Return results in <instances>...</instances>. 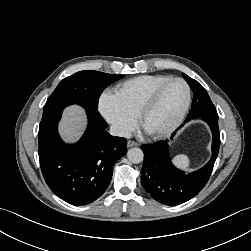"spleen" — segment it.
Returning a JSON list of instances; mask_svg holds the SVG:
<instances>
[{
    "label": "spleen",
    "instance_id": "spleen-1",
    "mask_svg": "<svg viewBox=\"0 0 251 251\" xmlns=\"http://www.w3.org/2000/svg\"><path fill=\"white\" fill-rule=\"evenodd\" d=\"M174 164L182 169H187L189 167V159L186 155H177L173 159Z\"/></svg>",
    "mask_w": 251,
    "mask_h": 251
}]
</instances>
